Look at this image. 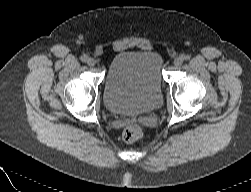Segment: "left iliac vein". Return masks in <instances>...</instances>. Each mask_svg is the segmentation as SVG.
<instances>
[{"label": "left iliac vein", "instance_id": "obj_1", "mask_svg": "<svg viewBox=\"0 0 251 192\" xmlns=\"http://www.w3.org/2000/svg\"><path fill=\"white\" fill-rule=\"evenodd\" d=\"M183 63V58L182 57H177L174 59V66L175 67H180Z\"/></svg>", "mask_w": 251, "mask_h": 192}]
</instances>
